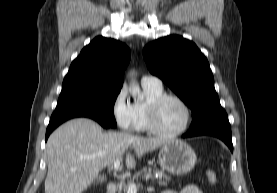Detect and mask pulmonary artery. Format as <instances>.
<instances>
[{
	"mask_svg": "<svg viewBox=\"0 0 277 193\" xmlns=\"http://www.w3.org/2000/svg\"><path fill=\"white\" fill-rule=\"evenodd\" d=\"M141 84L143 87H151V88H162V81L152 75H145L141 78Z\"/></svg>",
	"mask_w": 277,
	"mask_h": 193,
	"instance_id": "pulmonary-artery-1",
	"label": "pulmonary artery"
}]
</instances>
